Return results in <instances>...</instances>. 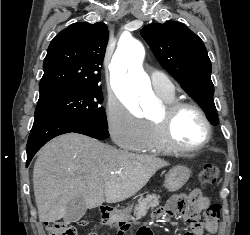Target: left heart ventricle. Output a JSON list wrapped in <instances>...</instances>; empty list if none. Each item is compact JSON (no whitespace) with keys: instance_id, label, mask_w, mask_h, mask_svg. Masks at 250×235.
Masks as SVG:
<instances>
[{"instance_id":"obj_1","label":"left heart ventricle","mask_w":250,"mask_h":235,"mask_svg":"<svg viewBox=\"0 0 250 235\" xmlns=\"http://www.w3.org/2000/svg\"><path fill=\"white\" fill-rule=\"evenodd\" d=\"M162 114L163 110L154 119L160 118ZM172 133L178 144L193 147L205 137V126L198 113L186 109L175 118Z\"/></svg>"}]
</instances>
